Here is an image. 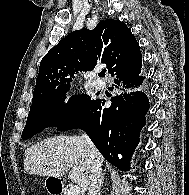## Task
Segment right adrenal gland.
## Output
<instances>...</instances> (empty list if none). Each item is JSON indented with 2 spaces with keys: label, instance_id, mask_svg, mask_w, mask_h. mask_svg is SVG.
Returning a JSON list of instances; mask_svg holds the SVG:
<instances>
[{
  "label": "right adrenal gland",
  "instance_id": "2a0ac1e0",
  "mask_svg": "<svg viewBox=\"0 0 189 195\" xmlns=\"http://www.w3.org/2000/svg\"><path fill=\"white\" fill-rule=\"evenodd\" d=\"M103 180H104V174H103V177H102V184H103Z\"/></svg>",
  "mask_w": 189,
  "mask_h": 195
}]
</instances>
